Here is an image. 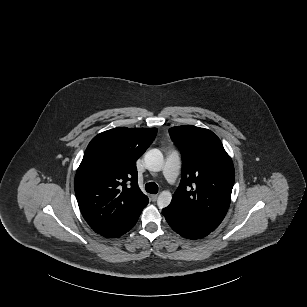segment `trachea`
<instances>
[{
	"mask_svg": "<svg viewBox=\"0 0 307 307\" xmlns=\"http://www.w3.org/2000/svg\"><path fill=\"white\" fill-rule=\"evenodd\" d=\"M145 189L148 193H151V194H157L159 191L157 184L154 182L147 183L145 185Z\"/></svg>",
	"mask_w": 307,
	"mask_h": 307,
	"instance_id": "obj_1",
	"label": "trachea"
}]
</instances>
